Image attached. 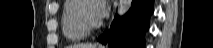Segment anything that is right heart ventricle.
<instances>
[{
    "label": "right heart ventricle",
    "instance_id": "1",
    "mask_svg": "<svg viewBox=\"0 0 213 48\" xmlns=\"http://www.w3.org/2000/svg\"><path fill=\"white\" fill-rule=\"evenodd\" d=\"M79 0H66L64 2L61 14V28L63 35L69 41H80L89 34L79 23L77 19V6Z\"/></svg>",
    "mask_w": 213,
    "mask_h": 48
}]
</instances>
